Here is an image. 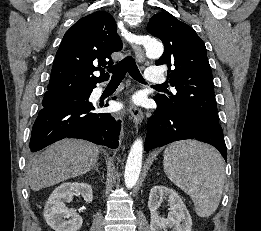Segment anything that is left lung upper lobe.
Returning a JSON list of instances; mask_svg holds the SVG:
<instances>
[{"mask_svg": "<svg viewBox=\"0 0 261 231\" xmlns=\"http://www.w3.org/2000/svg\"><path fill=\"white\" fill-rule=\"evenodd\" d=\"M147 30L164 44V53L155 64L169 67L168 78L176 89L175 93L157 94L154 100L165 108L184 109L221 129L203 41L190 26L168 12L152 16Z\"/></svg>", "mask_w": 261, "mask_h": 231, "instance_id": "5c2ea615", "label": "left lung upper lobe"}]
</instances>
